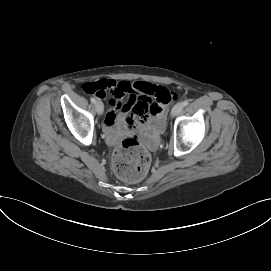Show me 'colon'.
I'll use <instances>...</instances> for the list:
<instances>
[{"label": "colon", "instance_id": "obj_1", "mask_svg": "<svg viewBox=\"0 0 271 271\" xmlns=\"http://www.w3.org/2000/svg\"><path fill=\"white\" fill-rule=\"evenodd\" d=\"M83 89L87 93L99 96L105 90L102 81L86 83ZM158 98L162 101L176 99L175 93L159 90ZM151 162L149 152L139 145L136 139L126 138L117 148L113 156V171L120 179L127 182H137L148 172Z\"/></svg>", "mask_w": 271, "mask_h": 271}]
</instances>
